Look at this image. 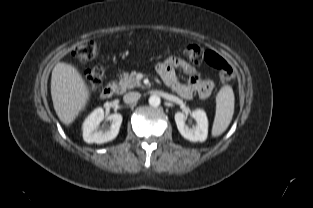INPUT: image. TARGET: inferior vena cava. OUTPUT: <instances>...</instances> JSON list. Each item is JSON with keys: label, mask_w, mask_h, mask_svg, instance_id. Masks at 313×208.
Returning <instances> with one entry per match:
<instances>
[{"label": "inferior vena cava", "mask_w": 313, "mask_h": 208, "mask_svg": "<svg viewBox=\"0 0 313 208\" xmlns=\"http://www.w3.org/2000/svg\"><path fill=\"white\" fill-rule=\"evenodd\" d=\"M141 97V94L138 92H129L124 95L123 100L127 104H133L137 102Z\"/></svg>", "instance_id": "602c4592"}]
</instances>
